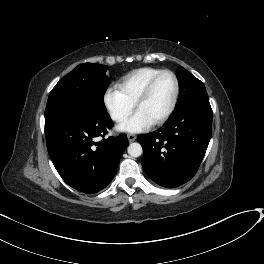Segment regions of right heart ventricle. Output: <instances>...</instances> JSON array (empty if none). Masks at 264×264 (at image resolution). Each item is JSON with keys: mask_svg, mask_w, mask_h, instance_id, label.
I'll return each instance as SVG.
<instances>
[{"mask_svg": "<svg viewBox=\"0 0 264 264\" xmlns=\"http://www.w3.org/2000/svg\"><path fill=\"white\" fill-rule=\"evenodd\" d=\"M160 71L162 70L152 67L133 70L121 79L118 87L125 96L135 104L149 80Z\"/></svg>", "mask_w": 264, "mask_h": 264, "instance_id": "1", "label": "right heart ventricle"}]
</instances>
